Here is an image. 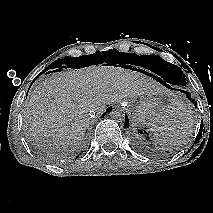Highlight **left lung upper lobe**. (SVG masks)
Instances as JSON below:
<instances>
[{"label":"left lung upper lobe","instance_id":"left-lung-upper-lobe-1","mask_svg":"<svg viewBox=\"0 0 213 213\" xmlns=\"http://www.w3.org/2000/svg\"><path fill=\"white\" fill-rule=\"evenodd\" d=\"M140 60H142V63L137 64L165 74L172 80L175 86H184L186 84L182 70L178 66L161 59L159 56L144 55L140 57Z\"/></svg>","mask_w":213,"mask_h":213}]
</instances>
